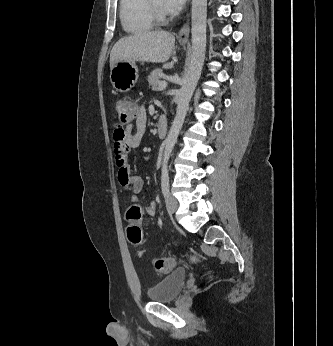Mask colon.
I'll use <instances>...</instances> for the list:
<instances>
[{
	"instance_id": "obj_1",
	"label": "colon",
	"mask_w": 333,
	"mask_h": 346,
	"mask_svg": "<svg viewBox=\"0 0 333 346\" xmlns=\"http://www.w3.org/2000/svg\"><path fill=\"white\" fill-rule=\"evenodd\" d=\"M117 112L121 122L128 123L136 119L138 109L135 103L126 98H120L117 101ZM141 220V208L137 204L131 205L126 211V229L127 239L133 246H140L143 242V233L139 222ZM154 269L159 275H166L175 267V261L172 258H159L153 263Z\"/></svg>"
}]
</instances>
